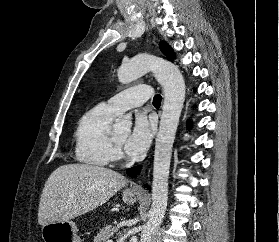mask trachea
<instances>
[{"mask_svg": "<svg viewBox=\"0 0 279 242\" xmlns=\"http://www.w3.org/2000/svg\"><path fill=\"white\" fill-rule=\"evenodd\" d=\"M161 100H162V97L160 95H155L154 98H153V105L154 106H160L161 105Z\"/></svg>", "mask_w": 279, "mask_h": 242, "instance_id": "3493384b", "label": "trachea"}]
</instances>
